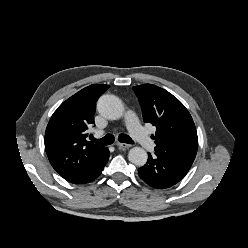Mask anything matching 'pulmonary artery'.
I'll use <instances>...</instances> for the list:
<instances>
[{
    "label": "pulmonary artery",
    "mask_w": 248,
    "mask_h": 248,
    "mask_svg": "<svg viewBox=\"0 0 248 248\" xmlns=\"http://www.w3.org/2000/svg\"><path fill=\"white\" fill-rule=\"evenodd\" d=\"M126 126L132 137L146 150L154 149L153 140L146 134L144 129L139 125L137 118L132 111H128L125 116Z\"/></svg>",
    "instance_id": "pulmonary-artery-1"
}]
</instances>
